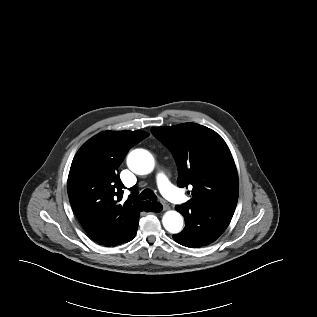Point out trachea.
Listing matches in <instances>:
<instances>
[{"label": "trachea", "instance_id": "trachea-1", "mask_svg": "<svg viewBox=\"0 0 317 317\" xmlns=\"http://www.w3.org/2000/svg\"><path fill=\"white\" fill-rule=\"evenodd\" d=\"M139 199L140 200H146L149 199L150 201H156L157 200V196L155 195V193L150 190V189H145L143 190L140 195H139Z\"/></svg>", "mask_w": 317, "mask_h": 317}]
</instances>
